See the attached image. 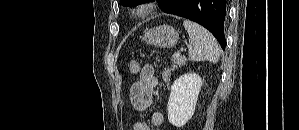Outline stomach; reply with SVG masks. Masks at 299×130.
Wrapping results in <instances>:
<instances>
[{"label":"stomach","instance_id":"1","mask_svg":"<svg viewBox=\"0 0 299 130\" xmlns=\"http://www.w3.org/2000/svg\"><path fill=\"white\" fill-rule=\"evenodd\" d=\"M179 39V32L172 26L161 25L147 30L142 40L151 46L171 48L176 45Z\"/></svg>","mask_w":299,"mask_h":130}]
</instances>
